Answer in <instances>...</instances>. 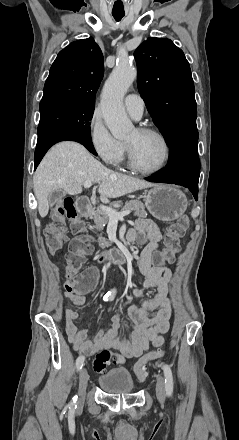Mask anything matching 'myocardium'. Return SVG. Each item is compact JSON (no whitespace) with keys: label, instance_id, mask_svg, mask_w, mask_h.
Returning a JSON list of instances; mask_svg holds the SVG:
<instances>
[{"label":"myocardium","instance_id":"f54148a6","mask_svg":"<svg viewBox=\"0 0 239 440\" xmlns=\"http://www.w3.org/2000/svg\"><path fill=\"white\" fill-rule=\"evenodd\" d=\"M137 130L144 134H153L157 136L163 143L164 149H165V156L162 164L152 170H147L142 167H140L137 163V160L135 158L134 152L130 145L126 142V150H127V157H128V163L132 170H134L137 173L143 174V175H155L160 172H162L168 165L170 158H171V145L168 140V138L165 136L163 132L158 130L157 128L150 127V126H140L137 128Z\"/></svg>","mask_w":239,"mask_h":440}]
</instances>
